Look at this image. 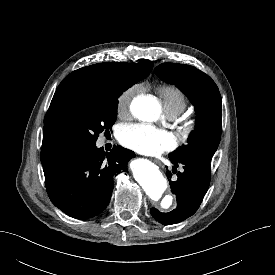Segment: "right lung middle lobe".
<instances>
[{
    "label": "right lung middle lobe",
    "instance_id": "dd1d6c3e",
    "mask_svg": "<svg viewBox=\"0 0 275 275\" xmlns=\"http://www.w3.org/2000/svg\"><path fill=\"white\" fill-rule=\"evenodd\" d=\"M124 89L68 94L51 102L45 120L68 150L96 145L117 117L118 98Z\"/></svg>",
    "mask_w": 275,
    "mask_h": 275
}]
</instances>
